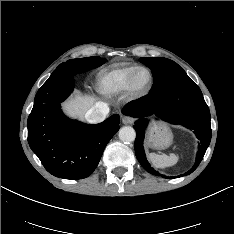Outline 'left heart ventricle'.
Listing matches in <instances>:
<instances>
[{"mask_svg": "<svg viewBox=\"0 0 234 234\" xmlns=\"http://www.w3.org/2000/svg\"><path fill=\"white\" fill-rule=\"evenodd\" d=\"M150 81V76L147 71H141L138 73L135 79V88L142 91L147 88Z\"/></svg>", "mask_w": 234, "mask_h": 234, "instance_id": "b2bd125f", "label": "left heart ventricle"}]
</instances>
